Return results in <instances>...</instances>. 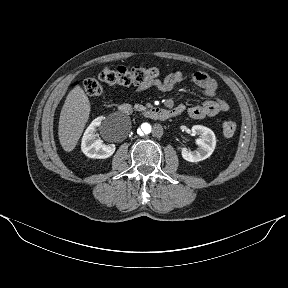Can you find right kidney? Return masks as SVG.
Instances as JSON below:
<instances>
[{"mask_svg": "<svg viewBox=\"0 0 288 288\" xmlns=\"http://www.w3.org/2000/svg\"><path fill=\"white\" fill-rule=\"evenodd\" d=\"M102 118H96L86 129L81 143L82 152L89 158L105 159L115 152L114 144H104L101 139H97L95 132L101 126Z\"/></svg>", "mask_w": 288, "mask_h": 288, "instance_id": "obj_1", "label": "right kidney"}]
</instances>
